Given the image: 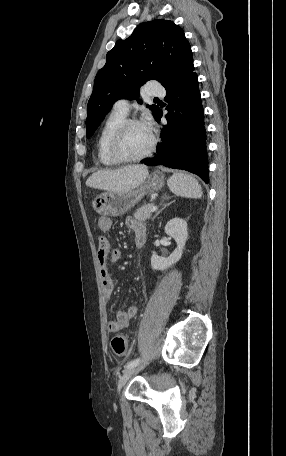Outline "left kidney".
Wrapping results in <instances>:
<instances>
[{"label":"left kidney","instance_id":"1","mask_svg":"<svg viewBox=\"0 0 286 456\" xmlns=\"http://www.w3.org/2000/svg\"><path fill=\"white\" fill-rule=\"evenodd\" d=\"M165 233L174 238L177 248L169 257H160L157 254L151 256V267L154 270H165L177 263L183 254V249L188 237L187 222L180 218L170 220L165 226Z\"/></svg>","mask_w":286,"mask_h":456}]
</instances>
